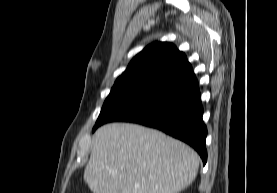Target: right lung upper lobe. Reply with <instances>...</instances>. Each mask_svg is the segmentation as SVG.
I'll use <instances>...</instances> for the list:
<instances>
[{
	"instance_id": "right-lung-upper-lobe-1",
	"label": "right lung upper lobe",
	"mask_w": 277,
	"mask_h": 193,
	"mask_svg": "<svg viewBox=\"0 0 277 193\" xmlns=\"http://www.w3.org/2000/svg\"><path fill=\"white\" fill-rule=\"evenodd\" d=\"M193 74L183 52L171 43L154 42L132 59L112 89L152 93Z\"/></svg>"
}]
</instances>
